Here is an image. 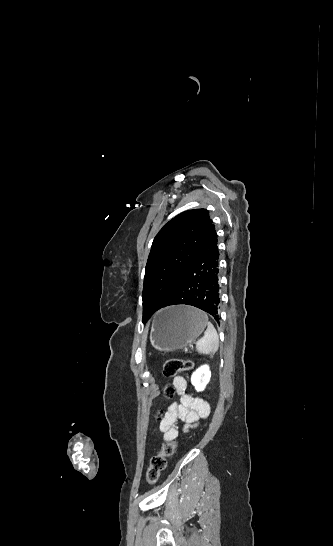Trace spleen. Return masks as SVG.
Here are the masks:
<instances>
[{"mask_svg": "<svg viewBox=\"0 0 333 546\" xmlns=\"http://www.w3.org/2000/svg\"><path fill=\"white\" fill-rule=\"evenodd\" d=\"M205 317L207 322V329L204 333V336L196 342V350L199 354L213 355L218 350V334L212 323L208 321V316L206 314Z\"/></svg>", "mask_w": 333, "mask_h": 546, "instance_id": "3e777b00", "label": "spleen"}]
</instances>
